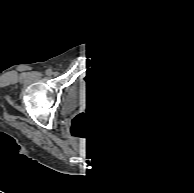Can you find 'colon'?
<instances>
[{
  "mask_svg": "<svg viewBox=\"0 0 194 193\" xmlns=\"http://www.w3.org/2000/svg\"><path fill=\"white\" fill-rule=\"evenodd\" d=\"M78 123L84 125L85 121L79 119ZM123 143V134L114 130H107L94 136L92 145L96 150L105 152L115 149Z\"/></svg>",
  "mask_w": 194,
  "mask_h": 193,
  "instance_id": "obj_1",
  "label": "colon"
}]
</instances>
